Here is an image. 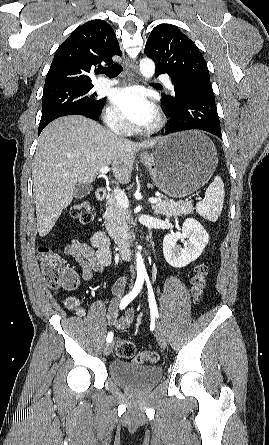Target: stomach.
<instances>
[{
	"label": "stomach",
	"mask_w": 269,
	"mask_h": 445,
	"mask_svg": "<svg viewBox=\"0 0 269 445\" xmlns=\"http://www.w3.org/2000/svg\"><path fill=\"white\" fill-rule=\"evenodd\" d=\"M142 161L155 185L173 198L188 196L213 175L217 163L214 144L198 131L170 135Z\"/></svg>",
	"instance_id": "stomach-1"
}]
</instances>
